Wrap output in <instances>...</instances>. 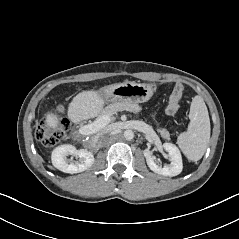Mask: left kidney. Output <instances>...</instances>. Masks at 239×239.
<instances>
[{
  "instance_id": "left-kidney-1",
  "label": "left kidney",
  "mask_w": 239,
  "mask_h": 239,
  "mask_svg": "<svg viewBox=\"0 0 239 239\" xmlns=\"http://www.w3.org/2000/svg\"><path fill=\"white\" fill-rule=\"evenodd\" d=\"M163 148L168 152L171 159V164L164 167L159 166L156 163L155 157L150 154L148 149L144 150V156L148 167L155 173L163 176H177L181 173L183 168L182 157L179 149L172 143H164Z\"/></svg>"
}]
</instances>
